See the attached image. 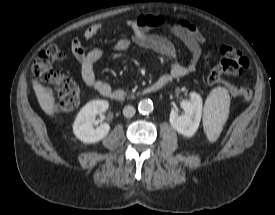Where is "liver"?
Wrapping results in <instances>:
<instances>
[{
  "mask_svg": "<svg viewBox=\"0 0 275 215\" xmlns=\"http://www.w3.org/2000/svg\"><path fill=\"white\" fill-rule=\"evenodd\" d=\"M32 86L42 110L49 116H53L55 109V97L50 87H44L37 79L32 80Z\"/></svg>",
  "mask_w": 275,
  "mask_h": 215,
  "instance_id": "6515ba94",
  "label": "liver"
}]
</instances>
